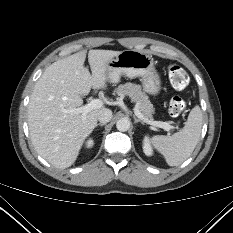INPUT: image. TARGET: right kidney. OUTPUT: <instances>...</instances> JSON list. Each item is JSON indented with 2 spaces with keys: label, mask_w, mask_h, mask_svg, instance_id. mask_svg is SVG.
<instances>
[{
  "label": "right kidney",
  "mask_w": 233,
  "mask_h": 233,
  "mask_svg": "<svg viewBox=\"0 0 233 233\" xmlns=\"http://www.w3.org/2000/svg\"><path fill=\"white\" fill-rule=\"evenodd\" d=\"M93 144H94L93 139H89V140L86 142V147H87V148H92Z\"/></svg>",
  "instance_id": "ca27d5eb"
}]
</instances>
